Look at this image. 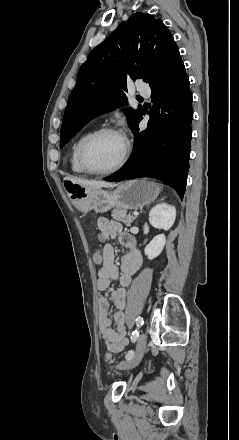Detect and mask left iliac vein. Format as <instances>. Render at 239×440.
<instances>
[{
    "instance_id": "left-iliac-vein-1",
    "label": "left iliac vein",
    "mask_w": 239,
    "mask_h": 440,
    "mask_svg": "<svg viewBox=\"0 0 239 440\" xmlns=\"http://www.w3.org/2000/svg\"><path fill=\"white\" fill-rule=\"evenodd\" d=\"M146 343H147V336L145 333H142L137 340L136 352L133 358L127 361L120 362L117 368L120 370H126L137 366L144 355Z\"/></svg>"
}]
</instances>
